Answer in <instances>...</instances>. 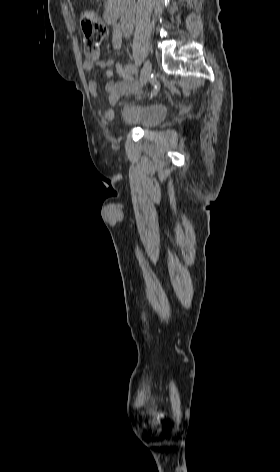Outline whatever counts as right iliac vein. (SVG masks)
Masks as SVG:
<instances>
[{"mask_svg": "<svg viewBox=\"0 0 280 472\" xmlns=\"http://www.w3.org/2000/svg\"><path fill=\"white\" fill-rule=\"evenodd\" d=\"M151 69H152L151 63L149 61H146L143 68H142V71H141L140 84H139L140 89L144 85H146V83L148 82V79H149L150 73H151Z\"/></svg>", "mask_w": 280, "mask_h": 472, "instance_id": "obj_1", "label": "right iliac vein"}]
</instances>
